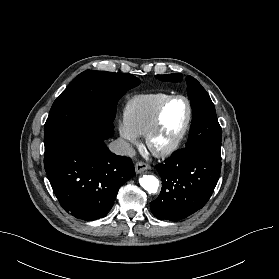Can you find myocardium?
<instances>
[{
  "label": "myocardium",
  "instance_id": "1",
  "mask_svg": "<svg viewBox=\"0 0 279 279\" xmlns=\"http://www.w3.org/2000/svg\"><path fill=\"white\" fill-rule=\"evenodd\" d=\"M177 99H181L186 103L187 117L185 123L182 129L180 130V132L168 144H166L163 147L157 148L154 146L153 142L155 136L157 135V133L161 128L163 113L166 107L168 106V104ZM192 116H193L192 104L188 97L181 94L171 95L170 97H168L158 108L155 118L145 134V143L149 151L158 157H165L174 153L182 143L183 139L185 138L189 130L192 121Z\"/></svg>",
  "mask_w": 279,
  "mask_h": 279
}]
</instances>
